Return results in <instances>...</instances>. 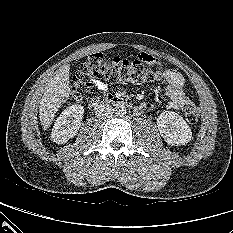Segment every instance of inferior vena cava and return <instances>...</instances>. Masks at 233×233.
<instances>
[{"instance_id":"obj_1","label":"inferior vena cava","mask_w":233,"mask_h":233,"mask_svg":"<svg viewBox=\"0 0 233 233\" xmlns=\"http://www.w3.org/2000/svg\"><path fill=\"white\" fill-rule=\"evenodd\" d=\"M114 113V109L109 105H99L96 110V116L101 119L110 118Z\"/></svg>"}]
</instances>
